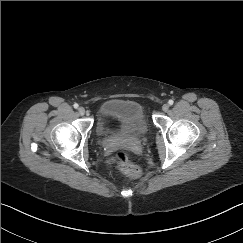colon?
Masks as SVG:
<instances>
[{"label":"colon","instance_id":"5ec220e1","mask_svg":"<svg viewBox=\"0 0 243 243\" xmlns=\"http://www.w3.org/2000/svg\"><path fill=\"white\" fill-rule=\"evenodd\" d=\"M117 166L119 170L129 178H139L142 175V170L134 165L130 160L126 152L119 151L115 155Z\"/></svg>","mask_w":243,"mask_h":243}]
</instances>
